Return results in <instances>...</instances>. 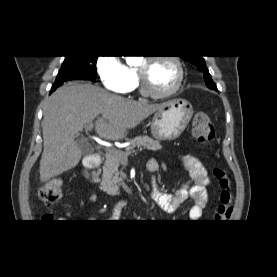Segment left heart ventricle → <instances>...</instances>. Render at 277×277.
<instances>
[{
    "mask_svg": "<svg viewBox=\"0 0 277 277\" xmlns=\"http://www.w3.org/2000/svg\"><path fill=\"white\" fill-rule=\"evenodd\" d=\"M139 68L143 69L147 85L153 92H165L175 83L177 71L175 66L167 60L142 62Z\"/></svg>",
    "mask_w": 277,
    "mask_h": 277,
    "instance_id": "obj_1",
    "label": "left heart ventricle"
}]
</instances>
